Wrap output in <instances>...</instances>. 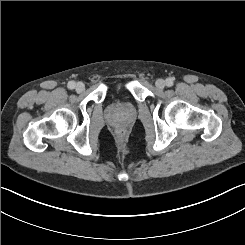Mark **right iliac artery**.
I'll list each match as a JSON object with an SVG mask.
<instances>
[{
  "mask_svg": "<svg viewBox=\"0 0 245 245\" xmlns=\"http://www.w3.org/2000/svg\"><path fill=\"white\" fill-rule=\"evenodd\" d=\"M67 86H68L69 89H74L75 88V82L74 81H69Z\"/></svg>",
  "mask_w": 245,
  "mask_h": 245,
  "instance_id": "right-iliac-artery-1",
  "label": "right iliac artery"
}]
</instances>
